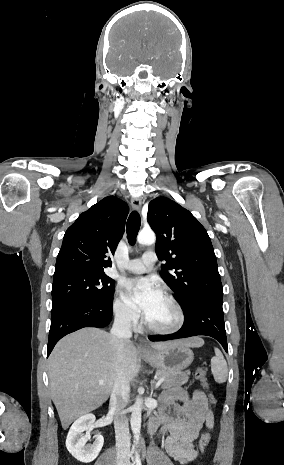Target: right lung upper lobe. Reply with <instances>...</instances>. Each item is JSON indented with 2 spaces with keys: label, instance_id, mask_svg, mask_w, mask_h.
Returning a JSON list of instances; mask_svg holds the SVG:
<instances>
[{
  "label": "right lung upper lobe",
  "instance_id": "1",
  "mask_svg": "<svg viewBox=\"0 0 284 465\" xmlns=\"http://www.w3.org/2000/svg\"><path fill=\"white\" fill-rule=\"evenodd\" d=\"M128 212L127 203L110 196L80 214L65 232L53 279L105 274L103 269L112 266L108 255L114 254L124 233Z\"/></svg>",
  "mask_w": 284,
  "mask_h": 465
}]
</instances>
